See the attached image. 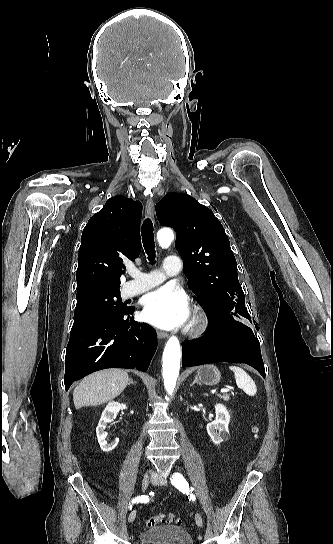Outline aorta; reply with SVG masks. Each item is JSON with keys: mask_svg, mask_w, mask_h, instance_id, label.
<instances>
[{"mask_svg": "<svg viewBox=\"0 0 333 544\" xmlns=\"http://www.w3.org/2000/svg\"><path fill=\"white\" fill-rule=\"evenodd\" d=\"M157 239L161 247H168L174 234L171 229H161L157 234ZM181 347L177 337L172 336L166 343L163 352V379L165 390L171 395L175 389L180 370Z\"/></svg>", "mask_w": 333, "mask_h": 544, "instance_id": "762f6f07", "label": "aorta"}]
</instances>
